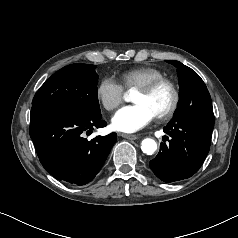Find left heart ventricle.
Instances as JSON below:
<instances>
[{
    "instance_id": "obj_1",
    "label": "left heart ventricle",
    "mask_w": 238,
    "mask_h": 238,
    "mask_svg": "<svg viewBox=\"0 0 238 238\" xmlns=\"http://www.w3.org/2000/svg\"><path fill=\"white\" fill-rule=\"evenodd\" d=\"M134 103H143L149 106L158 115L166 111L172 102V93L168 86L163 85L151 94L137 91L133 98Z\"/></svg>"
}]
</instances>
